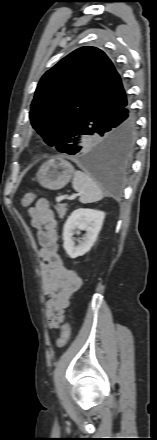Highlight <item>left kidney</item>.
Returning <instances> with one entry per match:
<instances>
[{
	"label": "left kidney",
	"mask_w": 157,
	"mask_h": 440,
	"mask_svg": "<svg viewBox=\"0 0 157 440\" xmlns=\"http://www.w3.org/2000/svg\"><path fill=\"white\" fill-rule=\"evenodd\" d=\"M105 213L93 209H77L67 219L63 229V248L70 258L83 256L90 251L102 228ZM86 231L83 241L75 245L73 230Z\"/></svg>",
	"instance_id": "5707ae66"
}]
</instances>
